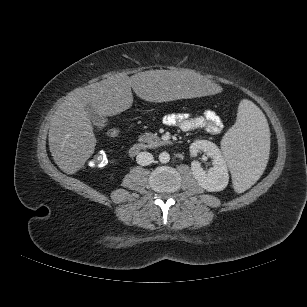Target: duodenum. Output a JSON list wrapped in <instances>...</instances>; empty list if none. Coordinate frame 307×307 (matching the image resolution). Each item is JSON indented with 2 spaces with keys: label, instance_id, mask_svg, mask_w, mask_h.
Segmentation results:
<instances>
[{
  "label": "duodenum",
  "instance_id": "obj_1",
  "mask_svg": "<svg viewBox=\"0 0 307 307\" xmlns=\"http://www.w3.org/2000/svg\"><path fill=\"white\" fill-rule=\"evenodd\" d=\"M171 142L164 138H156L154 140L150 141H140L137 143H134L129 148V155L132 157H135L142 151L148 148H157L160 146L170 145Z\"/></svg>",
  "mask_w": 307,
  "mask_h": 307
}]
</instances>
